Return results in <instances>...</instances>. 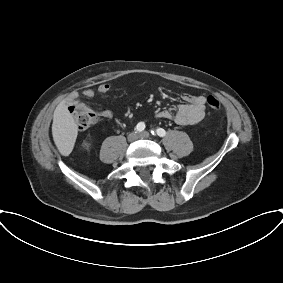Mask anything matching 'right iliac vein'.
Listing matches in <instances>:
<instances>
[{
	"label": "right iliac vein",
	"instance_id": "right-iliac-vein-1",
	"mask_svg": "<svg viewBox=\"0 0 283 283\" xmlns=\"http://www.w3.org/2000/svg\"><path fill=\"white\" fill-rule=\"evenodd\" d=\"M138 139V133L137 132H131L129 135H128V141L129 142H134Z\"/></svg>",
	"mask_w": 283,
	"mask_h": 283
}]
</instances>
